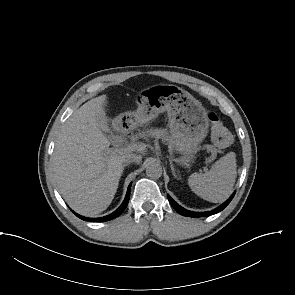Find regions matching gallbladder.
Returning <instances> with one entry per match:
<instances>
[{"label":"gallbladder","mask_w":295,"mask_h":295,"mask_svg":"<svg viewBox=\"0 0 295 295\" xmlns=\"http://www.w3.org/2000/svg\"><path fill=\"white\" fill-rule=\"evenodd\" d=\"M105 135L107 136V138H108L109 140H112V138H113V135H112V134L105 133Z\"/></svg>","instance_id":"1"}]
</instances>
